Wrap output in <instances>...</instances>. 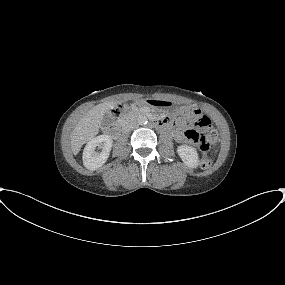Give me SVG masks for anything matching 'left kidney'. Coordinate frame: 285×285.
<instances>
[{
	"mask_svg": "<svg viewBox=\"0 0 285 285\" xmlns=\"http://www.w3.org/2000/svg\"><path fill=\"white\" fill-rule=\"evenodd\" d=\"M177 153L188 167L196 168L198 166L199 156L195 148L181 145L177 148Z\"/></svg>",
	"mask_w": 285,
	"mask_h": 285,
	"instance_id": "obj_1",
	"label": "left kidney"
}]
</instances>
